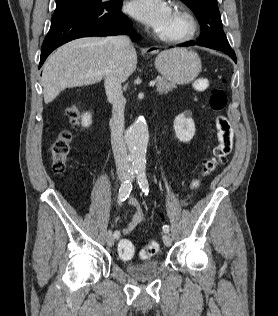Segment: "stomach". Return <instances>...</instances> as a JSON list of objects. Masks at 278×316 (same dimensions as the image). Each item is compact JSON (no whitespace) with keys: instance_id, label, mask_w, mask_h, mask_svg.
<instances>
[{"instance_id":"stomach-1","label":"stomach","mask_w":278,"mask_h":316,"mask_svg":"<svg viewBox=\"0 0 278 316\" xmlns=\"http://www.w3.org/2000/svg\"><path fill=\"white\" fill-rule=\"evenodd\" d=\"M201 60L197 53L186 49H167L155 59L158 72L174 84L192 82L201 71Z\"/></svg>"}]
</instances>
